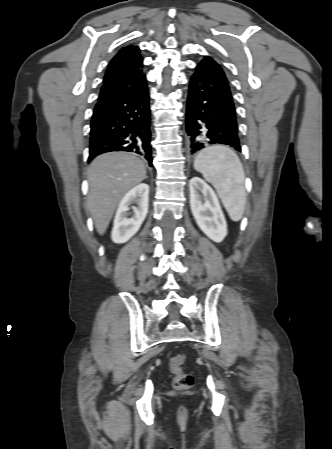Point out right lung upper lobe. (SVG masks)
<instances>
[{"label": "right lung upper lobe", "mask_w": 332, "mask_h": 449, "mask_svg": "<svg viewBox=\"0 0 332 449\" xmlns=\"http://www.w3.org/2000/svg\"><path fill=\"white\" fill-rule=\"evenodd\" d=\"M137 46L122 48L109 63L98 101L126 98L142 92L146 77L142 73L143 58Z\"/></svg>", "instance_id": "obj_1"}]
</instances>
